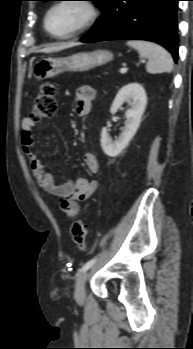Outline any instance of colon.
Segmentation results:
<instances>
[{
  "label": "colon",
  "mask_w": 193,
  "mask_h": 349,
  "mask_svg": "<svg viewBox=\"0 0 193 349\" xmlns=\"http://www.w3.org/2000/svg\"><path fill=\"white\" fill-rule=\"evenodd\" d=\"M57 111L56 87L44 83L33 102L30 118L34 121L52 118ZM72 239L75 246L84 251L87 248V228L82 220H75L71 226Z\"/></svg>",
  "instance_id": "colon-1"
}]
</instances>
